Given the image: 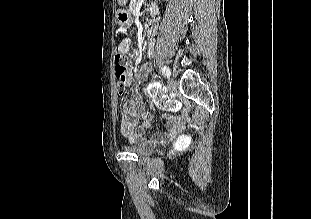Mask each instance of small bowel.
I'll list each match as a JSON object with an SVG mask.
<instances>
[{
  "label": "small bowel",
  "instance_id": "1",
  "mask_svg": "<svg viewBox=\"0 0 311 219\" xmlns=\"http://www.w3.org/2000/svg\"><path fill=\"white\" fill-rule=\"evenodd\" d=\"M130 40L124 39L118 46V52L127 55L130 52ZM148 68L144 67L137 78L133 80L132 71L126 73V84L132 86L131 97L123 105L121 117V133L131 142H156L167 138L175 137L182 130L177 118L172 115H164L166 131L155 134L150 139L146 138V132L150 129L153 121V113L145 109L144 102L140 96V89L147 77ZM149 95L154 101L159 100V94L156 91V85L148 86Z\"/></svg>",
  "mask_w": 311,
  "mask_h": 219
}]
</instances>
